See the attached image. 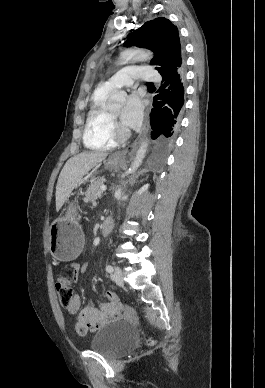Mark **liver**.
<instances>
[{
  "instance_id": "liver-1",
  "label": "liver",
  "mask_w": 265,
  "mask_h": 388,
  "mask_svg": "<svg viewBox=\"0 0 265 388\" xmlns=\"http://www.w3.org/2000/svg\"><path fill=\"white\" fill-rule=\"evenodd\" d=\"M106 156H108L107 152H82L66 162L57 182L56 212H59L83 176L88 174Z\"/></svg>"
}]
</instances>
